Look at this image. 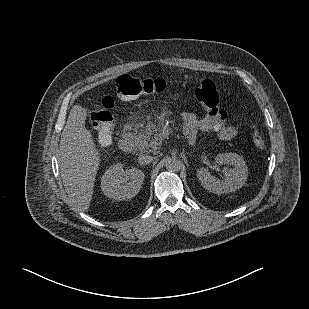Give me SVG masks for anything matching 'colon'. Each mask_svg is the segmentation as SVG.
<instances>
[{
	"mask_svg": "<svg viewBox=\"0 0 309 309\" xmlns=\"http://www.w3.org/2000/svg\"><path fill=\"white\" fill-rule=\"evenodd\" d=\"M167 83L164 79H138L131 76H120L115 82L117 97L122 101H132L142 95L161 93L165 91ZM195 97L205 113L219 121L227 118V113L220 107V95L215 83L204 79L195 90ZM116 99L112 95L102 98V108L92 117L98 141L107 144L111 141L115 128L113 109ZM252 141L258 150H263L265 141L262 135L254 130Z\"/></svg>",
	"mask_w": 309,
	"mask_h": 309,
	"instance_id": "1",
	"label": "colon"
}]
</instances>
